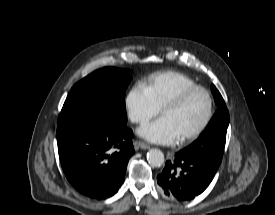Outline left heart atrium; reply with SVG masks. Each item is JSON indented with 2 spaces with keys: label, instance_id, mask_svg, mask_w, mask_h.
Returning <instances> with one entry per match:
<instances>
[{
  "label": "left heart atrium",
  "instance_id": "39dd6f15",
  "mask_svg": "<svg viewBox=\"0 0 275 215\" xmlns=\"http://www.w3.org/2000/svg\"><path fill=\"white\" fill-rule=\"evenodd\" d=\"M138 133L143 138L160 144H173L179 139L176 128L164 116L147 123L138 130Z\"/></svg>",
  "mask_w": 275,
  "mask_h": 215
}]
</instances>
